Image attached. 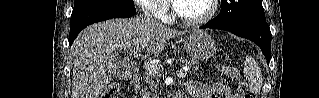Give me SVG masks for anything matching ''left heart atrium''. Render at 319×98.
Wrapping results in <instances>:
<instances>
[{
    "mask_svg": "<svg viewBox=\"0 0 319 98\" xmlns=\"http://www.w3.org/2000/svg\"><path fill=\"white\" fill-rule=\"evenodd\" d=\"M182 1L184 0H174L173 3L176 7H178Z\"/></svg>",
    "mask_w": 319,
    "mask_h": 98,
    "instance_id": "1",
    "label": "left heart atrium"
}]
</instances>
